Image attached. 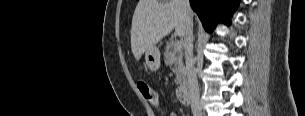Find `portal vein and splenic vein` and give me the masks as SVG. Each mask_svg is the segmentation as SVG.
I'll return each instance as SVG.
<instances>
[{"mask_svg":"<svg viewBox=\"0 0 305 116\" xmlns=\"http://www.w3.org/2000/svg\"><path fill=\"white\" fill-rule=\"evenodd\" d=\"M182 48V43L180 41H176L174 43V49H181Z\"/></svg>","mask_w":305,"mask_h":116,"instance_id":"1","label":"portal vein and splenic vein"}]
</instances>
